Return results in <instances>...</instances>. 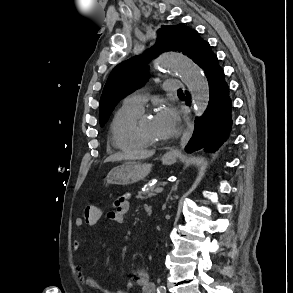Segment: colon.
Masks as SVG:
<instances>
[{"instance_id":"obj_1","label":"colon","mask_w":293,"mask_h":293,"mask_svg":"<svg viewBox=\"0 0 293 293\" xmlns=\"http://www.w3.org/2000/svg\"><path fill=\"white\" fill-rule=\"evenodd\" d=\"M101 215L100 208L93 204L89 203L84 207L83 210V219L87 224L94 225L98 222Z\"/></svg>"}]
</instances>
